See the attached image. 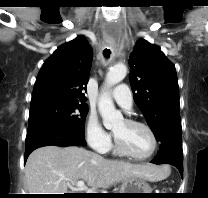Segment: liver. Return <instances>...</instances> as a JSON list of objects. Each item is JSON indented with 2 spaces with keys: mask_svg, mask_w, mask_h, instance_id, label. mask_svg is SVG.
Masks as SVG:
<instances>
[{
  "mask_svg": "<svg viewBox=\"0 0 208 198\" xmlns=\"http://www.w3.org/2000/svg\"><path fill=\"white\" fill-rule=\"evenodd\" d=\"M166 170L152 164L107 160L77 146H45L33 151L25 166L29 194H66L69 182L84 180L94 188L109 187L132 177L149 181L165 178Z\"/></svg>",
  "mask_w": 208,
  "mask_h": 198,
  "instance_id": "1",
  "label": "liver"
}]
</instances>
